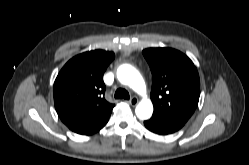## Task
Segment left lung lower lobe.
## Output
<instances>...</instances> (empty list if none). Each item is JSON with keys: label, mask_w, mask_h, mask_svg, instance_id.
<instances>
[{"label": "left lung lower lobe", "mask_w": 249, "mask_h": 165, "mask_svg": "<svg viewBox=\"0 0 249 165\" xmlns=\"http://www.w3.org/2000/svg\"><path fill=\"white\" fill-rule=\"evenodd\" d=\"M185 123L186 122L177 119H172L155 114H153L149 120L144 121V125L147 129L161 135L174 133L181 129Z\"/></svg>", "instance_id": "left-lung-lower-lobe-1"}]
</instances>
